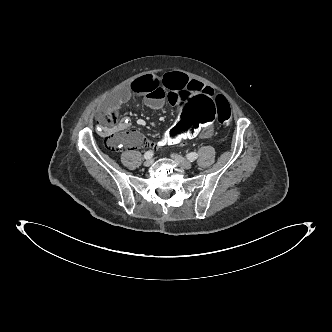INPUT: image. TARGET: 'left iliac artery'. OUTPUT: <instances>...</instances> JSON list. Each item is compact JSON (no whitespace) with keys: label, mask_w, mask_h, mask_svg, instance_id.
Returning <instances> with one entry per match:
<instances>
[{"label":"left iliac artery","mask_w":332,"mask_h":332,"mask_svg":"<svg viewBox=\"0 0 332 332\" xmlns=\"http://www.w3.org/2000/svg\"><path fill=\"white\" fill-rule=\"evenodd\" d=\"M186 157H187V159L189 160V161H194V160H196L197 158H198V154L196 153V152H191V153H188L187 155H186Z\"/></svg>","instance_id":"1"}]
</instances>
